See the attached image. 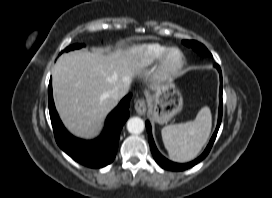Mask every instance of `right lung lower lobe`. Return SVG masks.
I'll return each mask as SVG.
<instances>
[{"mask_svg": "<svg viewBox=\"0 0 272 198\" xmlns=\"http://www.w3.org/2000/svg\"><path fill=\"white\" fill-rule=\"evenodd\" d=\"M131 94L124 97L109 114L102 135L92 141H84L72 136L63 126L55 109L51 79L48 87V103L54 135L59 147L75 161L100 168L110 164L116 155L121 129L129 117Z\"/></svg>", "mask_w": 272, "mask_h": 198, "instance_id": "right-lung-lower-lobe-1", "label": "right lung lower lobe"}]
</instances>
